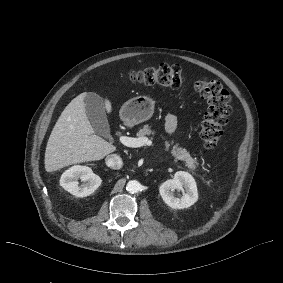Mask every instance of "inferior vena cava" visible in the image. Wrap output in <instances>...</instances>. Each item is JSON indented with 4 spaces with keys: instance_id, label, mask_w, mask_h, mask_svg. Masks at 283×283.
Returning <instances> with one entry per match:
<instances>
[{
    "instance_id": "1",
    "label": "inferior vena cava",
    "mask_w": 283,
    "mask_h": 283,
    "mask_svg": "<svg viewBox=\"0 0 283 283\" xmlns=\"http://www.w3.org/2000/svg\"><path fill=\"white\" fill-rule=\"evenodd\" d=\"M105 162L113 169H119L122 166V158L117 154H110L106 157Z\"/></svg>"
}]
</instances>
